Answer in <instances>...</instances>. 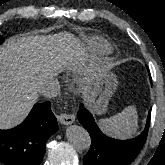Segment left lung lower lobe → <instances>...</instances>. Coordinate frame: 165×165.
I'll list each match as a JSON object with an SVG mask.
<instances>
[{
	"instance_id": "obj_1",
	"label": "left lung lower lobe",
	"mask_w": 165,
	"mask_h": 165,
	"mask_svg": "<svg viewBox=\"0 0 165 165\" xmlns=\"http://www.w3.org/2000/svg\"><path fill=\"white\" fill-rule=\"evenodd\" d=\"M150 116L151 110L148 113L146 127L139 136L121 141L104 135L95 123L91 113L81 104L77 118L91 135V147L83 157V165H129L145 143L150 125Z\"/></svg>"
}]
</instances>
